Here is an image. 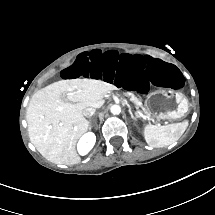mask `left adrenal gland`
I'll return each instance as SVG.
<instances>
[{
  "label": "left adrenal gland",
  "instance_id": "left-adrenal-gland-1",
  "mask_svg": "<svg viewBox=\"0 0 215 215\" xmlns=\"http://www.w3.org/2000/svg\"><path fill=\"white\" fill-rule=\"evenodd\" d=\"M129 113H130L132 119L137 120V118L133 115L131 109H129Z\"/></svg>",
  "mask_w": 215,
  "mask_h": 215
}]
</instances>
